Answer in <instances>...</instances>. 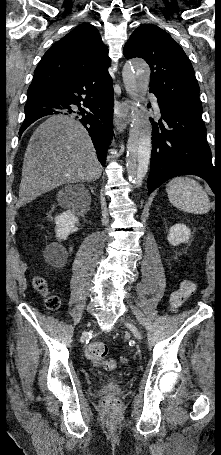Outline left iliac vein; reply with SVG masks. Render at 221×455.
Segmentation results:
<instances>
[{"mask_svg":"<svg viewBox=\"0 0 221 455\" xmlns=\"http://www.w3.org/2000/svg\"><path fill=\"white\" fill-rule=\"evenodd\" d=\"M124 324L133 333V335L135 336L136 339H138V340L142 339L141 332L138 330V328L135 325H133L132 323H130L126 320H124Z\"/></svg>","mask_w":221,"mask_h":455,"instance_id":"obj_1","label":"left iliac vein"}]
</instances>
